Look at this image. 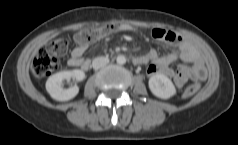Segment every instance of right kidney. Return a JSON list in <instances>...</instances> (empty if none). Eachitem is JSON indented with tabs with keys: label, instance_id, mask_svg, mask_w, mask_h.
I'll use <instances>...</instances> for the list:
<instances>
[{
	"label": "right kidney",
	"instance_id": "ca27d5eb",
	"mask_svg": "<svg viewBox=\"0 0 238 145\" xmlns=\"http://www.w3.org/2000/svg\"><path fill=\"white\" fill-rule=\"evenodd\" d=\"M71 78L82 81L85 78V73L78 69L55 73L46 82L47 92L53 99L58 101H67L74 98L79 92V87L74 85L68 89H64L62 85L63 80Z\"/></svg>",
	"mask_w": 238,
	"mask_h": 145
}]
</instances>
